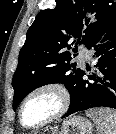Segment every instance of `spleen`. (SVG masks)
Listing matches in <instances>:
<instances>
[{
  "label": "spleen",
  "mask_w": 116,
  "mask_h": 134,
  "mask_svg": "<svg viewBox=\"0 0 116 134\" xmlns=\"http://www.w3.org/2000/svg\"><path fill=\"white\" fill-rule=\"evenodd\" d=\"M86 114L97 124L99 134H116V111L100 108L89 110Z\"/></svg>",
  "instance_id": "obj_1"
}]
</instances>
